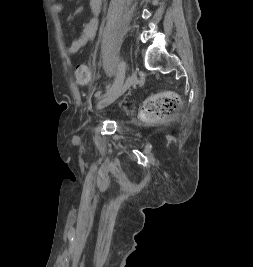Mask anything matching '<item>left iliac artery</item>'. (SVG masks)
<instances>
[{
  "label": "left iliac artery",
  "instance_id": "44dca946",
  "mask_svg": "<svg viewBox=\"0 0 253 267\" xmlns=\"http://www.w3.org/2000/svg\"><path fill=\"white\" fill-rule=\"evenodd\" d=\"M124 74H125V63L120 62V72L118 76L115 79V82L112 84H109L106 89V93L102 95L101 97H106L109 95L114 89H118L123 85V80H124Z\"/></svg>",
  "mask_w": 253,
  "mask_h": 267
}]
</instances>
